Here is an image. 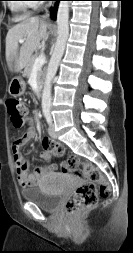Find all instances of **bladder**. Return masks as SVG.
Segmentation results:
<instances>
[{
	"instance_id": "obj_1",
	"label": "bladder",
	"mask_w": 133,
	"mask_h": 253,
	"mask_svg": "<svg viewBox=\"0 0 133 253\" xmlns=\"http://www.w3.org/2000/svg\"><path fill=\"white\" fill-rule=\"evenodd\" d=\"M22 198L30 203L35 204L41 210L51 212L60 204L62 194L59 192L49 191L41 186H31L21 190Z\"/></svg>"
}]
</instances>
